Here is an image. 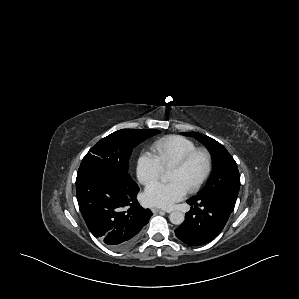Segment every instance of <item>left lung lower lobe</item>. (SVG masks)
<instances>
[{
	"instance_id": "0a47b994",
	"label": "left lung lower lobe",
	"mask_w": 299,
	"mask_h": 299,
	"mask_svg": "<svg viewBox=\"0 0 299 299\" xmlns=\"http://www.w3.org/2000/svg\"><path fill=\"white\" fill-rule=\"evenodd\" d=\"M187 203L194 208L186 213L175 234L190 246L205 245L219 235L235 206L220 197L192 198Z\"/></svg>"
}]
</instances>
